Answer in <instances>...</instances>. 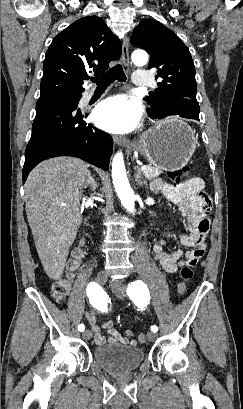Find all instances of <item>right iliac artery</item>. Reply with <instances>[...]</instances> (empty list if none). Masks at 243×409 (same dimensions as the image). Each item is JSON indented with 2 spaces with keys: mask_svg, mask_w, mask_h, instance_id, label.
<instances>
[{
  "mask_svg": "<svg viewBox=\"0 0 243 409\" xmlns=\"http://www.w3.org/2000/svg\"><path fill=\"white\" fill-rule=\"evenodd\" d=\"M87 296L90 299V303L96 308L106 307V296L102 288L95 282H91L87 286ZM84 324L78 326L79 331H84Z\"/></svg>",
  "mask_w": 243,
  "mask_h": 409,
  "instance_id": "82829eb1",
  "label": "right iliac artery"
}]
</instances>
